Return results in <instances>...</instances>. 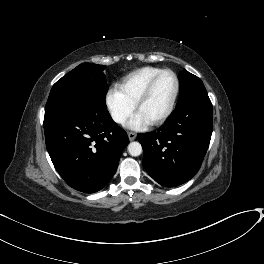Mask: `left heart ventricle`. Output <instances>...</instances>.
Here are the masks:
<instances>
[{
    "mask_svg": "<svg viewBox=\"0 0 264 264\" xmlns=\"http://www.w3.org/2000/svg\"><path fill=\"white\" fill-rule=\"evenodd\" d=\"M175 89L174 77L163 74L156 82L149 98L140 106L138 113L147 121H153L167 109Z\"/></svg>",
    "mask_w": 264,
    "mask_h": 264,
    "instance_id": "left-heart-ventricle-1",
    "label": "left heart ventricle"
}]
</instances>
